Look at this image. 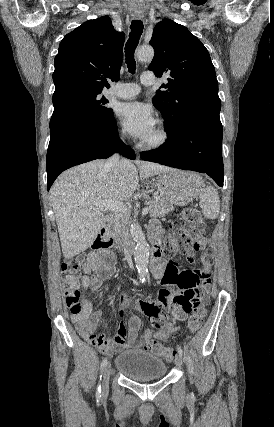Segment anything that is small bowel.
Masks as SVG:
<instances>
[{"label": "small bowel", "instance_id": "small-bowel-1", "mask_svg": "<svg viewBox=\"0 0 274 427\" xmlns=\"http://www.w3.org/2000/svg\"><path fill=\"white\" fill-rule=\"evenodd\" d=\"M148 233L151 239L156 238L154 236H160L161 226L155 221L152 222L149 225ZM195 252H200L203 256L207 253L206 250H201L200 245H195L190 251H181L180 253L182 256H188L190 265H195L197 263V258L194 256ZM115 265V254L103 247L96 246L89 251L83 266L82 287L86 290L98 292L104 280L114 274ZM215 266V263L211 261L208 265H203L201 269H179V266L172 261L160 258L153 260L151 272L159 280L163 289L158 292L159 299L136 300L137 312L148 313L151 326L155 329V331L146 330L142 338L138 337L141 327V319L138 315L130 316L128 326L120 321L114 338L96 333L95 330L102 318V312L99 310L93 312L92 303L87 298L84 299L82 310L79 313L72 314L71 320L80 336L106 355H113L133 348H142L146 342L152 339L167 340L172 333L174 335L180 334L176 320H188L189 312L182 310H193L195 305H204L208 301L210 278L214 276L213 269ZM166 267L170 276L169 281L165 278ZM199 284L201 294L198 298ZM164 293L173 304H169L168 300L164 299ZM177 298H184L185 301H176ZM128 306L129 302L125 296L119 295L117 297V313L120 318L127 315Z\"/></svg>", "mask_w": 274, "mask_h": 427}]
</instances>
